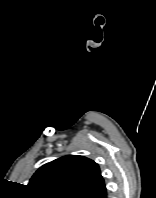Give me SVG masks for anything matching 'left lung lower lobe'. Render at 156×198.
Returning <instances> with one entry per match:
<instances>
[{
	"label": "left lung lower lobe",
	"mask_w": 156,
	"mask_h": 198,
	"mask_svg": "<svg viewBox=\"0 0 156 198\" xmlns=\"http://www.w3.org/2000/svg\"><path fill=\"white\" fill-rule=\"evenodd\" d=\"M98 198H107V191L98 196Z\"/></svg>",
	"instance_id": "left-lung-lower-lobe-1"
}]
</instances>
